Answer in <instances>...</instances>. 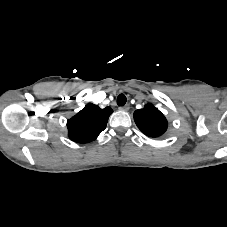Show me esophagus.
I'll list each match as a JSON object with an SVG mask.
<instances>
[{"label":"esophagus","instance_id":"34e87169","mask_svg":"<svg viewBox=\"0 0 227 227\" xmlns=\"http://www.w3.org/2000/svg\"><path fill=\"white\" fill-rule=\"evenodd\" d=\"M119 110L120 111H128L129 110V106L125 105V106L119 107Z\"/></svg>","mask_w":227,"mask_h":227}]
</instances>
